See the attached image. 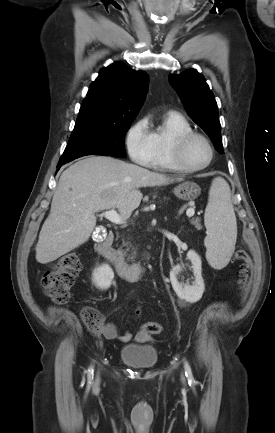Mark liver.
I'll return each instance as SVG.
<instances>
[{"label":"liver","instance_id":"obj_1","mask_svg":"<svg viewBox=\"0 0 275 433\" xmlns=\"http://www.w3.org/2000/svg\"><path fill=\"white\" fill-rule=\"evenodd\" d=\"M182 180L107 156L79 160L59 179L36 245L37 262L55 261L86 242L96 226V212L117 208L127 219L141 203L139 188Z\"/></svg>","mask_w":275,"mask_h":433}]
</instances>
